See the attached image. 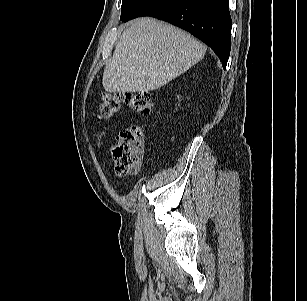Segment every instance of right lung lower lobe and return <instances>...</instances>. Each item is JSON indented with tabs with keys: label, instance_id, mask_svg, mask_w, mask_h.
<instances>
[{
	"label": "right lung lower lobe",
	"instance_id": "right-lung-lower-lobe-1",
	"mask_svg": "<svg viewBox=\"0 0 307 301\" xmlns=\"http://www.w3.org/2000/svg\"><path fill=\"white\" fill-rule=\"evenodd\" d=\"M140 16L156 17L190 32L210 46L226 68L232 28L229 0H161Z\"/></svg>",
	"mask_w": 307,
	"mask_h": 301
}]
</instances>
